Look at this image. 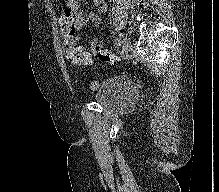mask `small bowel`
Returning a JSON list of instances; mask_svg holds the SVG:
<instances>
[{"label":"small bowel","mask_w":219,"mask_h":192,"mask_svg":"<svg viewBox=\"0 0 219 192\" xmlns=\"http://www.w3.org/2000/svg\"><path fill=\"white\" fill-rule=\"evenodd\" d=\"M83 0H64L65 9L58 18V24L61 30V36L64 37L71 33L75 42L79 41L78 31L88 22H93L96 26L101 23L100 15L107 11L106 0H93L94 5L97 7L96 13L86 15L81 9V3ZM94 39L92 44L96 43ZM80 50H83L79 47Z\"/></svg>","instance_id":"small-bowel-1"}]
</instances>
